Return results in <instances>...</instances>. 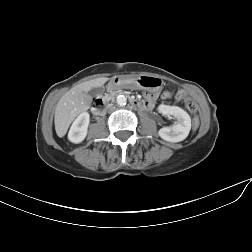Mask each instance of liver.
Wrapping results in <instances>:
<instances>
[{"instance_id":"liver-1","label":"liver","mask_w":252,"mask_h":252,"mask_svg":"<svg viewBox=\"0 0 252 252\" xmlns=\"http://www.w3.org/2000/svg\"><path fill=\"white\" fill-rule=\"evenodd\" d=\"M108 78L102 77L83 82L65 93L59 100L55 110V130L63 137L77 115L90 108L92 97L88 92L95 87H102Z\"/></svg>"}]
</instances>
